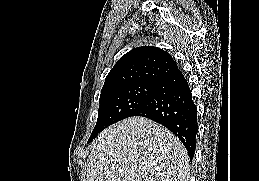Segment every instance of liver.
Here are the masks:
<instances>
[{"label": "liver", "mask_w": 259, "mask_h": 181, "mask_svg": "<svg viewBox=\"0 0 259 181\" xmlns=\"http://www.w3.org/2000/svg\"><path fill=\"white\" fill-rule=\"evenodd\" d=\"M188 153L164 126L130 117L93 141L86 181H189Z\"/></svg>", "instance_id": "6515ba94"}]
</instances>
